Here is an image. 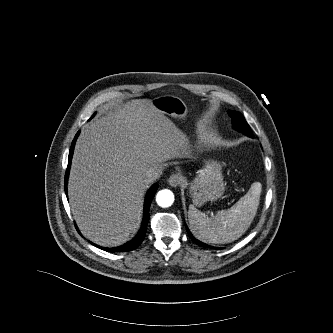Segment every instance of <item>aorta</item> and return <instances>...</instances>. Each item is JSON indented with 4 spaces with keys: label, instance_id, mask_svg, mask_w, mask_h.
Returning a JSON list of instances; mask_svg holds the SVG:
<instances>
[{
    "label": "aorta",
    "instance_id": "obj_1",
    "mask_svg": "<svg viewBox=\"0 0 333 333\" xmlns=\"http://www.w3.org/2000/svg\"><path fill=\"white\" fill-rule=\"evenodd\" d=\"M156 202L160 207L166 208L173 204L174 194L168 189L161 190L156 195Z\"/></svg>",
    "mask_w": 333,
    "mask_h": 333
}]
</instances>
